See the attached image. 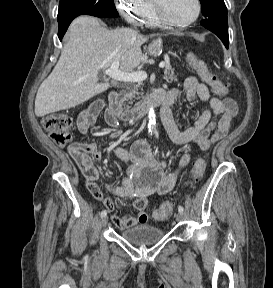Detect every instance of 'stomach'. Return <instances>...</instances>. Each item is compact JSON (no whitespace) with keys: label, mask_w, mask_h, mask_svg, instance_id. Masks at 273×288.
<instances>
[{"label":"stomach","mask_w":273,"mask_h":288,"mask_svg":"<svg viewBox=\"0 0 273 288\" xmlns=\"http://www.w3.org/2000/svg\"><path fill=\"white\" fill-rule=\"evenodd\" d=\"M162 51V39L159 37L152 41L148 47V53L152 56L160 55Z\"/></svg>","instance_id":"stomach-1"}]
</instances>
